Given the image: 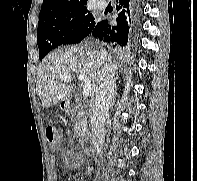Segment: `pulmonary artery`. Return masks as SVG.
<instances>
[{
    "label": "pulmonary artery",
    "mask_w": 197,
    "mask_h": 181,
    "mask_svg": "<svg viewBox=\"0 0 197 181\" xmlns=\"http://www.w3.org/2000/svg\"><path fill=\"white\" fill-rule=\"evenodd\" d=\"M96 7H97L98 9L103 10V9L106 7L105 1H104V0H98V1L96 2Z\"/></svg>",
    "instance_id": "pulmonary-artery-1"
}]
</instances>
